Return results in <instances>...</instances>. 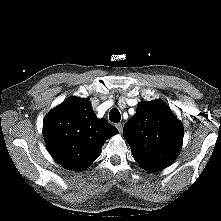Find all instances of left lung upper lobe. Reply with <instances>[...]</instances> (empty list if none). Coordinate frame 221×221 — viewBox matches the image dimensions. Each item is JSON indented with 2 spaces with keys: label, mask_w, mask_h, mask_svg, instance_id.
Wrapping results in <instances>:
<instances>
[{
  "label": "left lung upper lobe",
  "mask_w": 221,
  "mask_h": 221,
  "mask_svg": "<svg viewBox=\"0 0 221 221\" xmlns=\"http://www.w3.org/2000/svg\"><path fill=\"white\" fill-rule=\"evenodd\" d=\"M136 162L147 172L169 166L180 152L183 127L160 100L139 103L123 128Z\"/></svg>",
  "instance_id": "1"
}]
</instances>
